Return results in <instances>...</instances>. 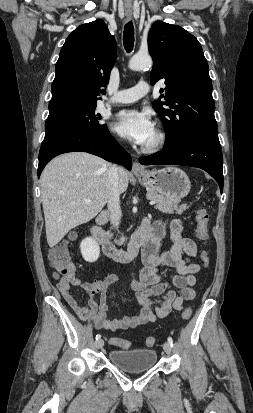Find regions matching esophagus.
Masks as SVG:
<instances>
[{
  "label": "esophagus",
  "mask_w": 253,
  "mask_h": 413,
  "mask_svg": "<svg viewBox=\"0 0 253 413\" xmlns=\"http://www.w3.org/2000/svg\"><path fill=\"white\" fill-rule=\"evenodd\" d=\"M126 16H127L128 19H130V18L132 17V12H131V11H127V12H126ZM132 172H133L134 174H138V173L144 172V169H143V167H142L138 162L135 161V162L133 163V166H132Z\"/></svg>",
  "instance_id": "obj_1"
}]
</instances>
